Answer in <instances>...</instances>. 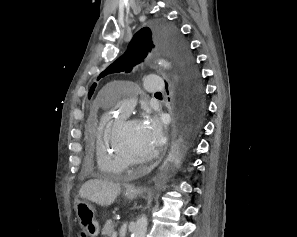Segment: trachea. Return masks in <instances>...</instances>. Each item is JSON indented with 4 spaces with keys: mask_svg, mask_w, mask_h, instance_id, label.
Returning a JSON list of instances; mask_svg holds the SVG:
<instances>
[{
    "mask_svg": "<svg viewBox=\"0 0 297 237\" xmlns=\"http://www.w3.org/2000/svg\"><path fill=\"white\" fill-rule=\"evenodd\" d=\"M156 94H158V95H161V93H160V92H157Z\"/></svg>",
    "mask_w": 297,
    "mask_h": 237,
    "instance_id": "1",
    "label": "trachea"
}]
</instances>
